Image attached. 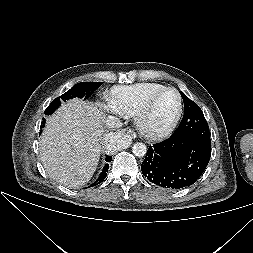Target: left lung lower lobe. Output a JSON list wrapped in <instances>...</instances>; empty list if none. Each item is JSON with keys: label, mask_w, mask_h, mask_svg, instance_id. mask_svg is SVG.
Returning <instances> with one entry per match:
<instances>
[{"label": "left lung lower lobe", "mask_w": 253, "mask_h": 253, "mask_svg": "<svg viewBox=\"0 0 253 253\" xmlns=\"http://www.w3.org/2000/svg\"><path fill=\"white\" fill-rule=\"evenodd\" d=\"M210 157L211 144L172 135L148 148L141 171L150 182L158 186L180 189L199 179Z\"/></svg>", "instance_id": "left-lung-lower-lobe-1"}]
</instances>
